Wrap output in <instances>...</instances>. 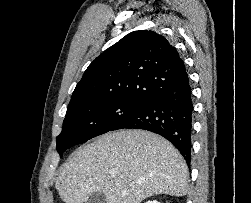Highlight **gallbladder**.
Instances as JSON below:
<instances>
[{"instance_id": "bac80fb5", "label": "gallbladder", "mask_w": 251, "mask_h": 203, "mask_svg": "<svg viewBox=\"0 0 251 203\" xmlns=\"http://www.w3.org/2000/svg\"><path fill=\"white\" fill-rule=\"evenodd\" d=\"M85 203H106V198L102 191H98L91 194Z\"/></svg>"}]
</instances>
